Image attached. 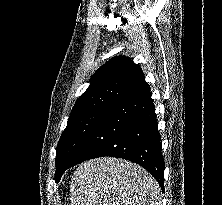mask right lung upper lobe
<instances>
[{
	"mask_svg": "<svg viewBox=\"0 0 222 205\" xmlns=\"http://www.w3.org/2000/svg\"><path fill=\"white\" fill-rule=\"evenodd\" d=\"M147 85L142 70L130 58L114 57L92 76L90 86L76 101L70 117L96 109H112Z\"/></svg>",
	"mask_w": 222,
	"mask_h": 205,
	"instance_id": "obj_1",
	"label": "right lung upper lobe"
}]
</instances>
